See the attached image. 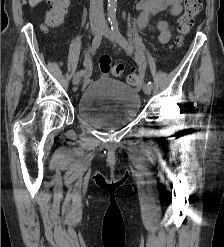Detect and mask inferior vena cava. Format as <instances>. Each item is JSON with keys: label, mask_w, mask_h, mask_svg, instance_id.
I'll return each instance as SVG.
<instances>
[{"label": "inferior vena cava", "mask_w": 224, "mask_h": 247, "mask_svg": "<svg viewBox=\"0 0 224 247\" xmlns=\"http://www.w3.org/2000/svg\"><path fill=\"white\" fill-rule=\"evenodd\" d=\"M89 18L90 22H97L104 26L103 0H90Z\"/></svg>", "instance_id": "1"}]
</instances>
